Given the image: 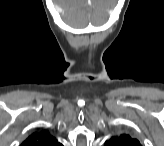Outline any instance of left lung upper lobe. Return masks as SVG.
<instances>
[{"label":"left lung upper lobe","mask_w":164,"mask_h":146,"mask_svg":"<svg viewBox=\"0 0 164 146\" xmlns=\"http://www.w3.org/2000/svg\"><path fill=\"white\" fill-rule=\"evenodd\" d=\"M105 146H140V143L127 134H121L112 136L105 142Z\"/></svg>","instance_id":"obj_1"}]
</instances>
